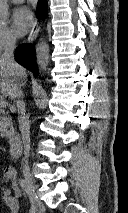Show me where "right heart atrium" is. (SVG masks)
I'll list each match as a JSON object with an SVG mask.
<instances>
[{"instance_id": "d8ad5b80", "label": "right heart atrium", "mask_w": 128, "mask_h": 213, "mask_svg": "<svg viewBox=\"0 0 128 213\" xmlns=\"http://www.w3.org/2000/svg\"><path fill=\"white\" fill-rule=\"evenodd\" d=\"M17 41L16 35L7 27H0V52L11 48Z\"/></svg>"}]
</instances>
